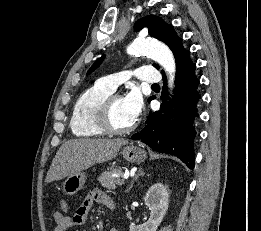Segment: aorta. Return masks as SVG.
<instances>
[{
  "label": "aorta",
  "mask_w": 261,
  "mask_h": 231,
  "mask_svg": "<svg viewBox=\"0 0 261 231\" xmlns=\"http://www.w3.org/2000/svg\"><path fill=\"white\" fill-rule=\"evenodd\" d=\"M130 55H146L158 62L168 73L172 87L176 64L171 50L164 44L148 40H135L127 49Z\"/></svg>",
  "instance_id": "1"
}]
</instances>
